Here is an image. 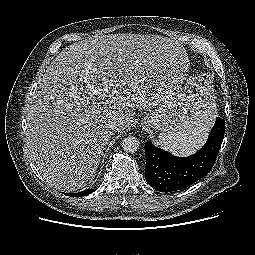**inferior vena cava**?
I'll return each instance as SVG.
<instances>
[{
	"label": "inferior vena cava",
	"instance_id": "inferior-vena-cava-1",
	"mask_svg": "<svg viewBox=\"0 0 255 255\" xmlns=\"http://www.w3.org/2000/svg\"><path fill=\"white\" fill-rule=\"evenodd\" d=\"M118 125H119V121L117 119H113V120L109 121V123H108V126L112 131L117 129Z\"/></svg>",
	"mask_w": 255,
	"mask_h": 255
}]
</instances>
